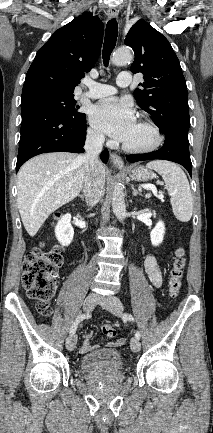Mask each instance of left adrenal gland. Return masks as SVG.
<instances>
[{"label":"left adrenal gland","mask_w":213,"mask_h":433,"mask_svg":"<svg viewBox=\"0 0 213 433\" xmlns=\"http://www.w3.org/2000/svg\"><path fill=\"white\" fill-rule=\"evenodd\" d=\"M131 188H132V190H133V196H137V195L142 196L141 192H140V191H137V190L134 188V186H132Z\"/></svg>","instance_id":"obj_1"}]
</instances>
